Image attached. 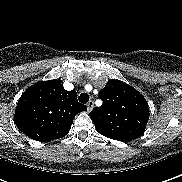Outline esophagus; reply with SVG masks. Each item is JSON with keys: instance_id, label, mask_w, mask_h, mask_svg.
Wrapping results in <instances>:
<instances>
[{"instance_id": "1", "label": "esophagus", "mask_w": 182, "mask_h": 182, "mask_svg": "<svg viewBox=\"0 0 182 182\" xmlns=\"http://www.w3.org/2000/svg\"><path fill=\"white\" fill-rule=\"evenodd\" d=\"M93 108H94V101L93 100H90L87 103V110L90 112Z\"/></svg>"}]
</instances>
